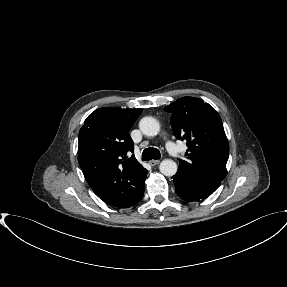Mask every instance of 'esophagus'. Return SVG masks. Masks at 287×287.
Here are the masks:
<instances>
[{"instance_id":"1","label":"esophagus","mask_w":287,"mask_h":287,"mask_svg":"<svg viewBox=\"0 0 287 287\" xmlns=\"http://www.w3.org/2000/svg\"><path fill=\"white\" fill-rule=\"evenodd\" d=\"M160 163V160H151V161H149V164L151 165V166H155V165H157V164H159Z\"/></svg>"}]
</instances>
